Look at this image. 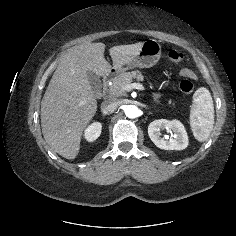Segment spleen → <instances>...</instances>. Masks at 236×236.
I'll return each instance as SVG.
<instances>
[{
  "instance_id": "obj_1",
  "label": "spleen",
  "mask_w": 236,
  "mask_h": 236,
  "mask_svg": "<svg viewBox=\"0 0 236 236\" xmlns=\"http://www.w3.org/2000/svg\"><path fill=\"white\" fill-rule=\"evenodd\" d=\"M214 125V104L212 96L204 87L197 89L193 95L190 112V126L194 137L204 142L210 135Z\"/></svg>"
}]
</instances>
